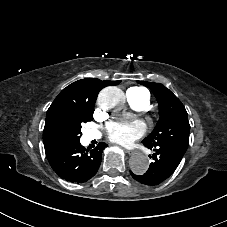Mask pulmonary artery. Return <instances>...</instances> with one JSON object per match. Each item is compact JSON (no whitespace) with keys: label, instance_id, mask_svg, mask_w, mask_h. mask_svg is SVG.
Returning a JSON list of instances; mask_svg holds the SVG:
<instances>
[{"label":"pulmonary artery","instance_id":"e3ab8cb5","mask_svg":"<svg viewBox=\"0 0 227 227\" xmlns=\"http://www.w3.org/2000/svg\"><path fill=\"white\" fill-rule=\"evenodd\" d=\"M126 98L137 109H144L148 103L145 97L137 96L132 92H127ZM86 136L89 140L100 138V135L96 132H89Z\"/></svg>","mask_w":227,"mask_h":227}]
</instances>
